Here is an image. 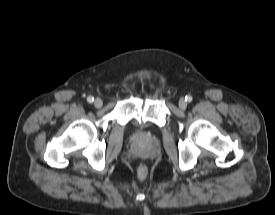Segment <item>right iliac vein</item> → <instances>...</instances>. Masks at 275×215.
I'll list each match as a JSON object with an SVG mask.
<instances>
[{
	"mask_svg": "<svg viewBox=\"0 0 275 215\" xmlns=\"http://www.w3.org/2000/svg\"><path fill=\"white\" fill-rule=\"evenodd\" d=\"M102 105H103V101L100 98H96L94 101V106L96 108H100V107H102Z\"/></svg>",
	"mask_w": 275,
	"mask_h": 215,
	"instance_id": "1",
	"label": "right iliac vein"
}]
</instances>
